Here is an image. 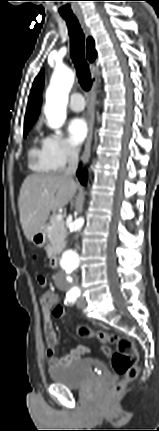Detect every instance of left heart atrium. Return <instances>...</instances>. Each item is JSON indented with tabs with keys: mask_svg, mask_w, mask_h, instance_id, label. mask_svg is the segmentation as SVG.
<instances>
[{
	"mask_svg": "<svg viewBox=\"0 0 159 431\" xmlns=\"http://www.w3.org/2000/svg\"><path fill=\"white\" fill-rule=\"evenodd\" d=\"M88 132L85 119L76 117L68 124V133L73 144L78 145L83 142Z\"/></svg>",
	"mask_w": 159,
	"mask_h": 431,
	"instance_id": "obj_1",
	"label": "left heart atrium"
}]
</instances>
